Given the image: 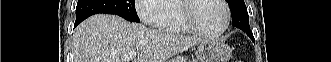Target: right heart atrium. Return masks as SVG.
Listing matches in <instances>:
<instances>
[{"label":"right heart atrium","instance_id":"obj_1","mask_svg":"<svg viewBox=\"0 0 331 62\" xmlns=\"http://www.w3.org/2000/svg\"><path fill=\"white\" fill-rule=\"evenodd\" d=\"M164 0H137L136 11L140 20L148 25L158 27L161 19L157 14Z\"/></svg>","mask_w":331,"mask_h":62}]
</instances>
